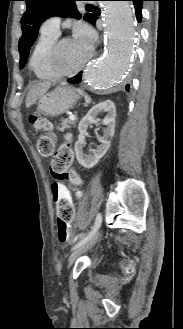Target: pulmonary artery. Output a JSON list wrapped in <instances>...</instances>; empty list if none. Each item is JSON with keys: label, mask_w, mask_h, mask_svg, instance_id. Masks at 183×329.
I'll list each match as a JSON object with an SVG mask.
<instances>
[{"label": "pulmonary artery", "mask_w": 183, "mask_h": 329, "mask_svg": "<svg viewBox=\"0 0 183 329\" xmlns=\"http://www.w3.org/2000/svg\"><path fill=\"white\" fill-rule=\"evenodd\" d=\"M59 25H60V17L52 16L44 21L41 27V31L59 35L60 33Z\"/></svg>", "instance_id": "1"}]
</instances>
